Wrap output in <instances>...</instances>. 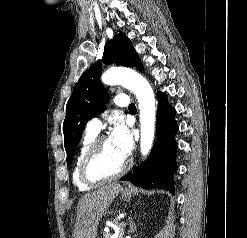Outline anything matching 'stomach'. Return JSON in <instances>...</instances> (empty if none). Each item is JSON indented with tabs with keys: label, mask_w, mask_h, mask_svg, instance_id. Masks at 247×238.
Segmentation results:
<instances>
[{
	"label": "stomach",
	"mask_w": 247,
	"mask_h": 238,
	"mask_svg": "<svg viewBox=\"0 0 247 238\" xmlns=\"http://www.w3.org/2000/svg\"><path fill=\"white\" fill-rule=\"evenodd\" d=\"M121 198L124 201H129L132 198V194H131L130 191H123L122 194H121Z\"/></svg>",
	"instance_id": "obj_1"
}]
</instances>
